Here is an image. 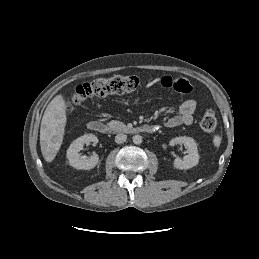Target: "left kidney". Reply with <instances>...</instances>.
Wrapping results in <instances>:
<instances>
[{
	"label": "left kidney",
	"instance_id": "obj_1",
	"mask_svg": "<svg viewBox=\"0 0 259 259\" xmlns=\"http://www.w3.org/2000/svg\"><path fill=\"white\" fill-rule=\"evenodd\" d=\"M174 144H183L187 150V155L184 159L177 157L174 160L173 165L176 169L187 170L198 164L199 154L197 144L193 138L186 136L176 137L170 141V145Z\"/></svg>",
	"mask_w": 259,
	"mask_h": 259
}]
</instances>
